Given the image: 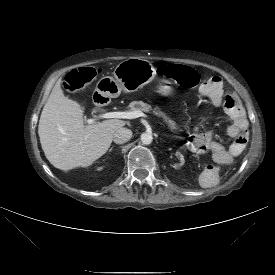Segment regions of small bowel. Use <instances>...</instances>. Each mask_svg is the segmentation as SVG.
Listing matches in <instances>:
<instances>
[{"label":"small bowel","mask_w":275,"mask_h":275,"mask_svg":"<svg viewBox=\"0 0 275 275\" xmlns=\"http://www.w3.org/2000/svg\"><path fill=\"white\" fill-rule=\"evenodd\" d=\"M202 92L211 105L219 106L223 100L222 79L219 76L211 77L203 86ZM226 111L231 119L227 132L231 137H237L241 131L248 127L245 112L237 99H233V104ZM211 146L212 135L205 133L189 139L186 143V150L191 155H206L210 152ZM237 155L222 148L212 150L209 160L203 161L200 165L201 174L197 178L198 187L202 190L213 188L221 177V166L231 164Z\"/></svg>","instance_id":"1"}]
</instances>
